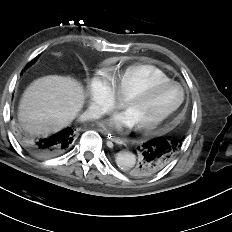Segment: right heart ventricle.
I'll return each mask as SVG.
<instances>
[{
	"mask_svg": "<svg viewBox=\"0 0 232 232\" xmlns=\"http://www.w3.org/2000/svg\"><path fill=\"white\" fill-rule=\"evenodd\" d=\"M103 69L119 100L155 83L170 80L164 71L150 64H133L125 68H118L115 65L104 63Z\"/></svg>",
	"mask_w": 232,
	"mask_h": 232,
	"instance_id": "right-heart-ventricle-1",
	"label": "right heart ventricle"
}]
</instances>
